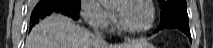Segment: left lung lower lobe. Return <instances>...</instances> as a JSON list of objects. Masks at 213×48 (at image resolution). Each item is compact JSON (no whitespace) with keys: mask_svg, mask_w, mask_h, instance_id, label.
I'll list each match as a JSON object with an SVG mask.
<instances>
[{"mask_svg":"<svg viewBox=\"0 0 213 48\" xmlns=\"http://www.w3.org/2000/svg\"><path fill=\"white\" fill-rule=\"evenodd\" d=\"M178 28L181 31H183L191 40V34L189 30V22L188 19H181L178 17H168L164 20H162L160 27H158V30L164 29V28Z\"/></svg>","mask_w":213,"mask_h":48,"instance_id":"obj_1","label":"left lung lower lobe"}]
</instances>
